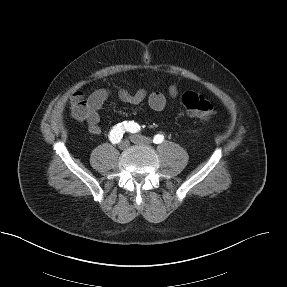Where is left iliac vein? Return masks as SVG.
Listing matches in <instances>:
<instances>
[{"label":"left iliac vein","mask_w":287,"mask_h":287,"mask_svg":"<svg viewBox=\"0 0 287 287\" xmlns=\"http://www.w3.org/2000/svg\"><path fill=\"white\" fill-rule=\"evenodd\" d=\"M130 140L134 144H138V145H149L152 142V140L149 137L137 135V134L131 135Z\"/></svg>","instance_id":"obj_1"}]
</instances>
